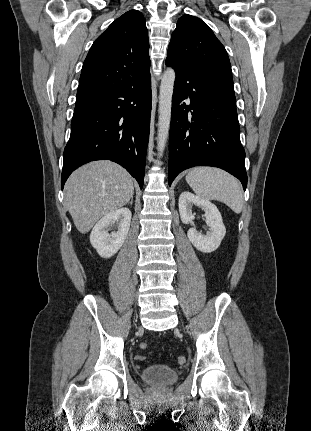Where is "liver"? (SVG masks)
Segmentation results:
<instances>
[{"instance_id": "1", "label": "liver", "mask_w": 311, "mask_h": 431, "mask_svg": "<svg viewBox=\"0 0 311 431\" xmlns=\"http://www.w3.org/2000/svg\"><path fill=\"white\" fill-rule=\"evenodd\" d=\"M66 206L80 233L109 212L129 204L134 194L132 176L109 160L90 162L75 170L65 184Z\"/></svg>"}]
</instances>
